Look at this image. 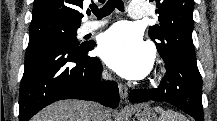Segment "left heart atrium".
<instances>
[{"label":"left heart atrium","mask_w":217,"mask_h":121,"mask_svg":"<svg viewBox=\"0 0 217 121\" xmlns=\"http://www.w3.org/2000/svg\"><path fill=\"white\" fill-rule=\"evenodd\" d=\"M98 50L107 65L126 78H142L152 66L151 49L129 24H117L103 33Z\"/></svg>","instance_id":"1"}]
</instances>
